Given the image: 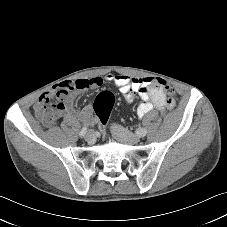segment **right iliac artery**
Wrapping results in <instances>:
<instances>
[{
    "label": "right iliac artery",
    "instance_id": "1",
    "mask_svg": "<svg viewBox=\"0 0 227 227\" xmlns=\"http://www.w3.org/2000/svg\"><path fill=\"white\" fill-rule=\"evenodd\" d=\"M86 132H87V126H84L79 133L80 137H84Z\"/></svg>",
    "mask_w": 227,
    "mask_h": 227
}]
</instances>
